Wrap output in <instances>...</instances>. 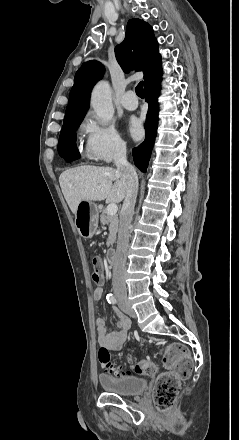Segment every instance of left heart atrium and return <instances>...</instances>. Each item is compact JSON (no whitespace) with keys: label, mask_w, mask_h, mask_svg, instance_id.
<instances>
[{"label":"left heart atrium","mask_w":239,"mask_h":440,"mask_svg":"<svg viewBox=\"0 0 239 440\" xmlns=\"http://www.w3.org/2000/svg\"><path fill=\"white\" fill-rule=\"evenodd\" d=\"M127 128L133 138H138L142 134V126L138 119L132 117L127 121Z\"/></svg>","instance_id":"1"}]
</instances>
